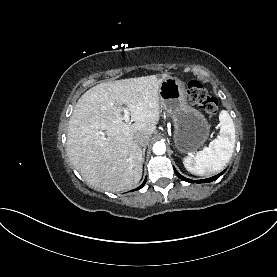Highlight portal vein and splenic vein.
<instances>
[{"label":"portal vein and splenic vein","instance_id":"1","mask_svg":"<svg viewBox=\"0 0 277 277\" xmlns=\"http://www.w3.org/2000/svg\"><path fill=\"white\" fill-rule=\"evenodd\" d=\"M122 111L124 112V117H123L124 121L125 122H129V119H130V112H129V110L126 109V108H122Z\"/></svg>","mask_w":277,"mask_h":277}]
</instances>
